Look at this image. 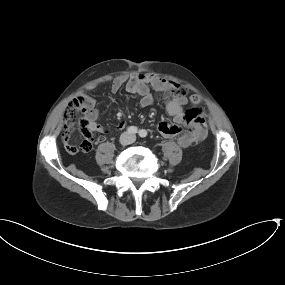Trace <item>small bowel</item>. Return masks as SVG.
I'll list each match as a JSON object with an SVG mask.
<instances>
[{"label": "small bowel", "instance_id": "obj_1", "mask_svg": "<svg viewBox=\"0 0 285 285\" xmlns=\"http://www.w3.org/2000/svg\"><path fill=\"white\" fill-rule=\"evenodd\" d=\"M159 77L151 73L134 74L128 78L120 76L115 78L111 83V92H118L123 85L128 93L134 94L140 97L139 103L141 107H149L153 104V96L150 93V86L157 87L159 83ZM96 84H91L86 89L85 93L90 94L96 89ZM90 101L94 99L88 96ZM184 96H177L171 100L165 102L166 111L173 117L174 124L167 122H161L156 127V132L166 138H178V144L182 148H188L201 143L206 135L207 128L204 119V113L201 109H193L189 111L184 110V104L186 103ZM98 118V112L91 110L88 113L87 119L90 123V130L96 133H105L106 127L96 120ZM183 126H187L188 130L184 131ZM125 122L120 121L112 127L113 131H119L124 129ZM73 130V123L66 125V133L64 137V146L66 151L71 155H76L80 152H90L92 150L93 142L91 139L86 138L81 141L80 144H74L70 141V135Z\"/></svg>", "mask_w": 285, "mask_h": 285}]
</instances>
